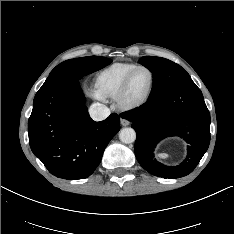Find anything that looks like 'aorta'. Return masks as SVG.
Segmentation results:
<instances>
[{"mask_svg":"<svg viewBox=\"0 0 234 234\" xmlns=\"http://www.w3.org/2000/svg\"><path fill=\"white\" fill-rule=\"evenodd\" d=\"M119 139L125 144L133 143L136 139V132L131 127L123 128L119 133Z\"/></svg>","mask_w":234,"mask_h":234,"instance_id":"762f6f07","label":"aorta"}]
</instances>
